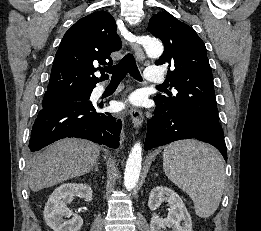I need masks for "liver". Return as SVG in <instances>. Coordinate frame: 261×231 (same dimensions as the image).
Instances as JSON below:
<instances>
[{"mask_svg": "<svg viewBox=\"0 0 261 231\" xmlns=\"http://www.w3.org/2000/svg\"><path fill=\"white\" fill-rule=\"evenodd\" d=\"M100 156V147L67 138L47 147L28 164L26 180L34 192L88 173Z\"/></svg>", "mask_w": 261, "mask_h": 231, "instance_id": "6515ba94", "label": "liver"}]
</instances>
